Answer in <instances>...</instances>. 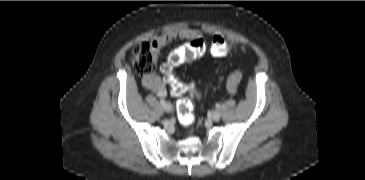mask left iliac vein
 I'll return each instance as SVG.
<instances>
[{
	"label": "left iliac vein",
	"instance_id": "obj_1",
	"mask_svg": "<svg viewBox=\"0 0 365 180\" xmlns=\"http://www.w3.org/2000/svg\"><path fill=\"white\" fill-rule=\"evenodd\" d=\"M220 117H221V114L219 113V111H213L211 113V119L213 121H218L220 119Z\"/></svg>",
	"mask_w": 365,
	"mask_h": 180
}]
</instances>
